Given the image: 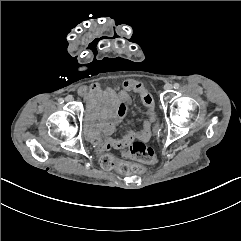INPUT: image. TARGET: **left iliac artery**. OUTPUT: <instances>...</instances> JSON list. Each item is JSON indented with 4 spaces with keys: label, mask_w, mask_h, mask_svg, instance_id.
Returning a JSON list of instances; mask_svg holds the SVG:
<instances>
[{
    "label": "left iliac artery",
    "mask_w": 241,
    "mask_h": 241,
    "mask_svg": "<svg viewBox=\"0 0 241 241\" xmlns=\"http://www.w3.org/2000/svg\"><path fill=\"white\" fill-rule=\"evenodd\" d=\"M179 87H180L179 83H175V84H174V88H175V89H178Z\"/></svg>",
    "instance_id": "obj_1"
}]
</instances>
